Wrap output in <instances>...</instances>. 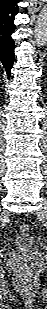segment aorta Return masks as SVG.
<instances>
[{
  "instance_id": "1",
  "label": "aorta",
  "mask_w": 47,
  "mask_h": 309,
  "mask_svg": "<svg viewBox=\"0 0 47 309\" xmlns=\"http://www.w3.org/2000/svg\"><path fill=\"white\" fill-rule=\"evenodd\" d=\"M34 41L37 47H45L47 44V13L43 10L37 20L34 30Z\"/></svg>"
}]
</instances>
